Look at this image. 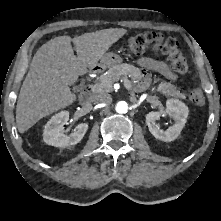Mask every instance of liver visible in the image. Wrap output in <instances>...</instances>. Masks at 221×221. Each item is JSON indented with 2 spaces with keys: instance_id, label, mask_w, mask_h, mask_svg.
I'll use <instances>...</instances> for the list:
<instances>
[{
  "instance_id": "1",
  "label": "liver",
  "mask_w": 221,
  "mask_h": 221,
  "mask_svg": "<svg viewBox=\"0 0 221 221\" xmlns=\"http://www.w3.org/2000/svg\"><path fill=\"white\" fill-rule=\"evenodd\" d=\"M123 34V29L110 28L74 38L59 36L43 44L35 53L20 89L16 107L18 131L24 133L40 119L74 103L77 96L69 86L86 74L87 68L97 66Z\"/></svg>"
}]
</instances>
